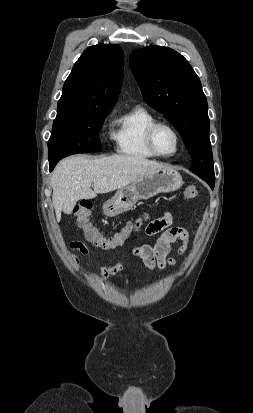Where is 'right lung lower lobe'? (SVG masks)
I'll return each mask as SVG.
<instances>
[{"instance_id":"right-lung-lower-lobe-1","label":"right lung lower lobe","mask_w":253,"mask_h":413,"mask_svg":"<svg viewBox=\"0 0 253 413\" xmlns=\"http://www.w3.org/2000/svg\"><path fill=\"white\" fill-rule=\"evenodd\" d=\"M56 164H57V162L49 163V169H50V171L53 170V168L55 167Z\"/></svg>"}]
</instances>
